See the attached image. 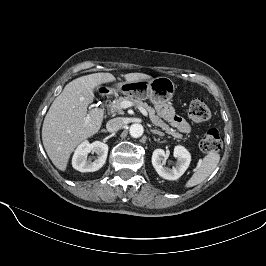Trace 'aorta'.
Instances as JSON below:
<instances>
[{
	"label": "aorta",
	"instance_id": "aorta-1",
	"mask_svg": "<svg viewBox=\"0 0 266 266\" xmlns=\"http://www.w3.org/2000/svg\"><path fill=\"white\" fill-rule=\"evenodd\" d=\"M129 133H130L131 137L139 138L143 135L144 128L141 124L135 123V124H132L130 126Z\"/></svg>",
	"mask_w": 266,
	"mask_h": 266
}]
</instances>
